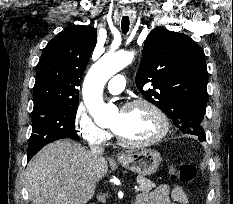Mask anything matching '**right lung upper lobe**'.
Here are the masks:
<instances>
[{
    "mask_svg": "<svg viewBox=\"0 0 233 204\" xmlns=\"http://www.w3.org/2000/svg\"><path fill=\"white\" fill-rule=\"evenodd\" d=\"M96 41L94 28L76 25L65 29L47 44L36 67L33 110L78 102L77 86Z\"/></svg>",
    "mask_w": 233,
    "mask_h": 204,
    "instance_id": "1",
    "label": "right lung upper lobe"
}]
</instances>
